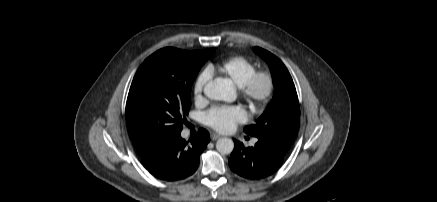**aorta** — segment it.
<instances>
[{
	"label": "aorta",
	"instance_id": "762f6f07",
	"mask_svg": "<svg viewBox=\"0 0 437 202\" xmlns=\"http://www.w3.org/2000/svg\"><path fill=\"white\" fill-rule=\"evenodd\" d=\"M204 94L212 100L233 102L236 99L232 83L222 78L208 82L204 87ZM216 149L221 154H230L234 149V142L230 138H220L216 142Z\"/></svg>",
	"mask_w": 437,
	"mask_h": 202
}]
</instances>
